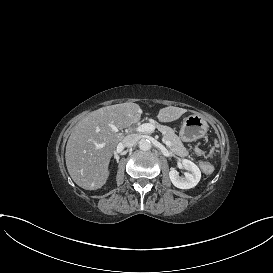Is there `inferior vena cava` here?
<instances>
[{"label": "inferior vena cava", "mask_w": 273, "mask_h": 273, "mask_svg": "<svg viewBox=\"0 0 273 273\" xmlns=\"http://www.w3.org/2000/svg\"><path fill=\"white\" fill-rule=\"evenodd\" d=\"M139 138L137 135H128L122 140L123 147H132L138 142Z\"/></svg>", "instance_id": "1"}]
</instances>
